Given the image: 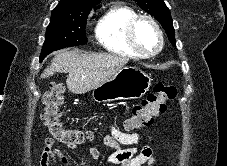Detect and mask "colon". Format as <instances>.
Listing matches in <instances>:
<instances>
[{
    "label": "colon",
    "mask_w": 227,
    "mask_h": 166,
    "mask_svg": "<svg viewBox=\"0 0 227 166\" xmlns=\"http://www.w3.org/2000/svg\"><path fill=\"white\" fill-rule=\"evenodd\" d=\"M176 97V88L167 83H157L140 103L133 106L131 114L123 122L127 131L148 127L153 119L166 110V105ZM64 104V89L60 84H52L44 97L43 124L47 132L65 146H75L93 138L89 132L71 129L61 121V108Z\"/></svg>",
    "instance_id": "obj_1"
}]
</instances>
